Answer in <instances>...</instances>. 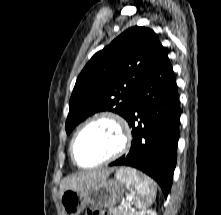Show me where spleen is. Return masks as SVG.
<instances>
[{"instance_id":"1","label":"spleen","mask_w":221,"mask_h":215,"mask_svg":"<svg viewBox=\"0 0 221 215\" xmlns=\"http://www.w3.org/2000/svg\"><path fill=\"white\" fill-rule=\"evenodd\" d=\"M117 178H121L128 188L134 189V205L138 210H145L152 205L156 197V187L149 177H138L135 170L123 173L119 170L116 173Z\"/></svg>"}]
</instances>
